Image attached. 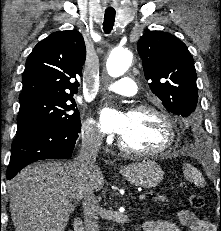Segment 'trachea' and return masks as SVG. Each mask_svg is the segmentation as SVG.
Here are the masks:
<instances>
[{"mask_svg": "<svg viewBox=\"0 0 221 231\" xmlns=\"http://www.w3.org/2000/svg\"><path fill=\"white\" fill-rule=\"evenodd\" d=\"M116 12L114 10H106L104 15L103 30L109 34L115 22Z\"/></svg>", "mask_w": 221, "mask_h": 231, "instance_id": "obj_1", "label": "trachea"}]
</instances>
